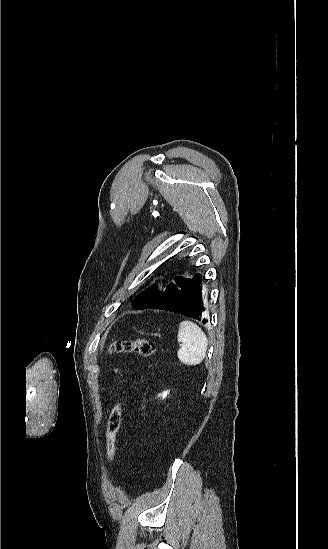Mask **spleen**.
<instances>
[{"instance_id":"obj_1","label":"spleen","mask_w":328,"mask_h":549,"mask_svg":"<svg viewBox=\"0 0 328 549\" xmlns=\"http://www.w3.org/2000/svg\"><path fill=\"white\" fill-rule=\"evenodd\" d=\"M178 343L183 347L178 349L177 355L184 365H199L206 357L208 339L202 329L192 321H182L177 335Z\"/></svg>"}]
</instances>
